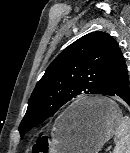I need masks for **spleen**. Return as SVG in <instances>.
Instances as JSON below:
<instances>
[{"label":"spleen","mask_w":130,"mask_h":153,"mask_svg":"<svg viewBox=\"0 0 130 153\" xmlns=\"http://www.w3.org/2000/svg\"><path fill=\"white\" fill-rule=\"evenodd\" d=\"M116 146L113 153H130V118L122 117L115 131Z\"/></svg>","instance_id":"obj_1"}]
</instances>
